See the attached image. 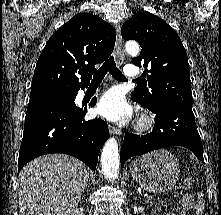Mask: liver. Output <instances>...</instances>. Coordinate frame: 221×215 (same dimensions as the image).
<instances>
[{
  "instance_id": "6515ba94",
  "label": "liver",
  "mask_w": 221,
  "mask_h": 215,
  "mask_svg": "<svg viewBox=\"0 0 221 215\" xmlns=\"http://www.w3.org/2000/svg\"><path fill=\"white\" fill-rule=\"evenodd\" d=\"M19 177L20 215H67L78 206L89 169L71 156L49 154L26 164Z\"/></svg>"
}]
</instances>
